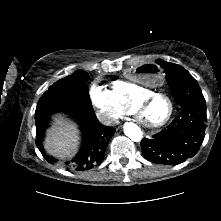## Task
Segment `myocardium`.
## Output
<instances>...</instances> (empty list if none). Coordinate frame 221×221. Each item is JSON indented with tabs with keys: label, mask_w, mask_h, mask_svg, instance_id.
I'll list each match as a JSON object with an SVG mask.
<instances>
[{
	"label": "myocardium",
	"mask_w": 221,
	"mask_h": 221,
	"mask_svg": "<svg viewBox=\"0 0 221 221\" xmlns=\"http://www.w3.org/2000/svg\"><path fill=\"white\" fill-rule=\"evenodd\" d=\"M156 98L166 99L169 102L170 110H169L168 115L163 120H161L159 122H149L145 118V108L151 103V101H153ZM134 111H136L139 121L144 126H146L148 128H158V127L164 126L165 124H167L171 120V118L173 117L174 112H175V104L169 95H167L165 93H161V92H153V93L145 96L144 98H142L140 101H138L134 107Z\"/></svg>",
	"instance_id": "obj_1"
}]
</instances>
